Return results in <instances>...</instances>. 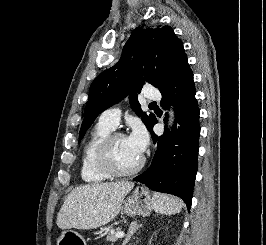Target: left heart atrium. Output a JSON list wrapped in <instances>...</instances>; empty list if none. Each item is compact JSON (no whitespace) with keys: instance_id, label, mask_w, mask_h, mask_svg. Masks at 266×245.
Wrapping results in <instances>:
<instances>
[{"instance_id":"39dd6f15","label":"left heart atrium","mask_w":266,"mask_h":245,"mask_svg":"<svg viewBox=\"0 0 266 245\" xmlns=\"http://www.w3.org/2000/svg\"><path fill=\"white\" fill-rule=\"evenodd\" d=\"M126 140L131 150L141 157L147 145V134L144 128L140 125L132 126L130 134L126 136Z\"/></svg>"}]
</instances>
